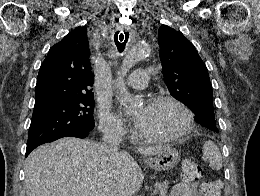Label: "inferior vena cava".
Listing matches in <instances>:
<instances>
[{
	"label": "inferior vena cava",
	"mask_w": 260,
	"mask_h": 196,
	"mask_svg": "<svg viewBox=\"0 0 260 196\" xmlns=\"http://www.w3.org/2000/svg\"><path fill=\"white\" fill-rule=\"evenodd\" d=\"M123 138L119 132H106L103 136V144L104 148H106L109 154H118V146L122 144ZM111 196H117L116 192L111 194Z\"/></svg>",
	"instance_id": "obj_1"
}]
</instances>
